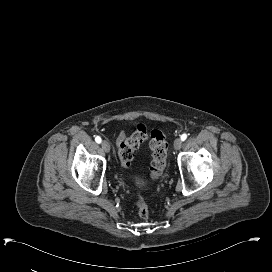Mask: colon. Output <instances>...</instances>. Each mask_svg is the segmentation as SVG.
I'll return each mask as SVG.
<instances>
[{
  "instance_id": "colon-1",
  "label": "colon",
  "mask_w": 272,
  "mask_h": 272,
  "mask_svg": "<svg viewBox=\"0 0 272 272\" xmlns=\"http://www.w3.org/2000/svg\"><path fill=\"white\" fill-rule=\"evenodd\" d=\"M148 139L152 150L149 177L150 179H156L163 174L167 160L168 144L161 130L149 131L145 125L139 124L136 131L119 144V154L123 167L128 168L134 159L136 149ZM135 208L141 218H147L150 214V205L143 198L136 202Z\"/></svg>"
}]
</instances>
